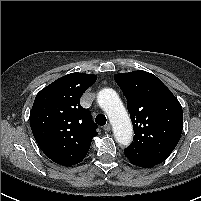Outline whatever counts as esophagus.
<instances>
[{
  "instance_id": "34e87169",
  "label": "esophagus",
  "mask_w": 201,
  "mask_h": 201,
  "mask_svg": "<svg viewBox=\"0 0 201 201\" xmlns=\"http://www.w3.org/2000/svg\"><path fill=\"white\" fill-rule=\"evenodd\" d=\"M103 129L106 131V132H109L111 130V125L110 124H106Z\"/></svg>"
}]
</instances>
